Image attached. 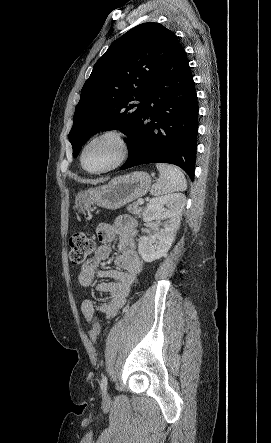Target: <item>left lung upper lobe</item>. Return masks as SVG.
<instances>
[{
    "instance_id": "left-lung-upper-lobe-1",
    "label": "left lung upper lobe",
    "mask_w": 271,
    "mask_h": 443,
    "mask_svg": "<svg viewBox=\"0 0 271 443\" xmlns=\"http://www.w3.org/2000/svg\"><path fill=\"white\" fill-rule=\"evenodd\" d=\"M179 45L176 35L159 23L140 24L112 43L81 90L68 135L74 157L99 129L118 128L129 144L150 82Z\"/></svg>"
}]
</instances>
